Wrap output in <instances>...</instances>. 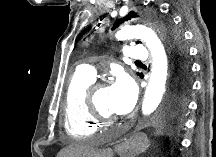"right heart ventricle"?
I'll use <instances>...</instances> for the list:
<instances>
[{"instance_id":"1","label":"right heart ventricle","mask_w":216,"mask_h":157,"mask_svg":"<svg viewBox=\"0 0 216 157\" xmlns=\"http://www.w3.org/2000/svg\"><path fill=\"white\" fill-rule=\"evenodd\" d=\"M93 81L77 72L69 78L63 97V127L69 136L88 137L98 128L87 103V90Z\"/></svg>"}]
</instances>
